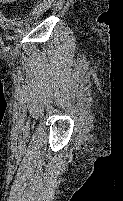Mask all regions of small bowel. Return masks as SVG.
Wrapping results in <instances>:
<instances>
[{
	"label": "small bowel",
	"instance_id": "obj_1",
	"mask_svg": "<svg viewBox=\"0 0 123 201\" xmlns=\"http://www.w3.org/2000/svg\"><path fill=\"white\" fill-rule=\"evenodd\" d=\"M16 2V0H0V4L2 5H9Z\"/></svg>",
	"mask_w": 123,
	"mask_h": 201
}]
</instances>
